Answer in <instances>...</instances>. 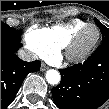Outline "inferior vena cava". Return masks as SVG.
<instances>
[{
  "label": "inferior vena cava",
  "mask_w": 109,
  "mask_h": 109,
  "mask_svg": "<svg viewBox=\"0 0 109 109\" xmlns=\"http://www.w3.org/2000/svg\"><path fill=\"white\" fill-rule=\"evenodd\" d=\"M18 56L20 59L27 62H31L37 59V56L34 53L24 49H19Z\"/></svg>",
  "instance_id": "1"
}]
</instances>
